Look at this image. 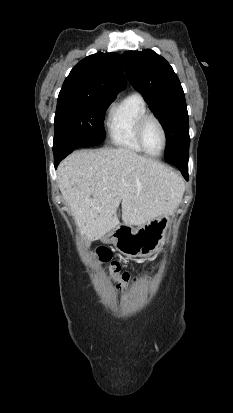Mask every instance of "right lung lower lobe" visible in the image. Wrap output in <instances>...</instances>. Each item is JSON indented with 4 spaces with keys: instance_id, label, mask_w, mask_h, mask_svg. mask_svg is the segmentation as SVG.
I'll return each instance as SVG.
<instances>
[{
    "instance_id": "98d812e1",
    "label": "right lung lower lobe",
    "mask_w": 233,
    "mask_h": 413,
    "mask_svg": "<svg viewBox=\"0 0 233 413\" xmlns=\"http://www.w3.org/2000/svg\"><path fill=\"white\" fill-rule=\"evenodd\" d=\"M74 149L63 150L59 152H54V165L57 168L58 164L62 159H64L68 154H70Z\"/></svg>"
}]
</instances>
